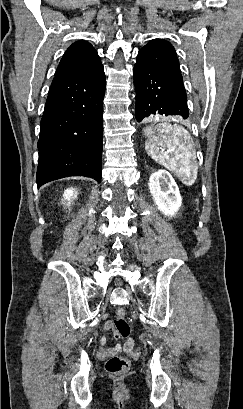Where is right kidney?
<instances>
[{"instance_id": "1", "label": "right kidney", "mask_w": 243, "mask_h": 409, "mask_svg": "<svg viewBox=\"0 0 243 409\" xmlns=\"http://www.w3.org/2000/svg\"><path fill=\"white\" fill-rule=\"evenodd\" d=\"M76 197H77V191L73 188H69L64 192V199L69 201V204H70L71 199L76 198Z\"/></svg>"}]
</instances>
